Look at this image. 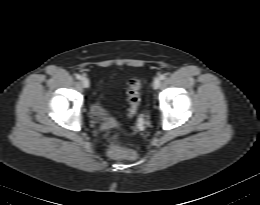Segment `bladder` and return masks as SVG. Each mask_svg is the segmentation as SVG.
Segmentation results:
<instances>
[{
    "mask_svg": "<svg viewBox=\"0 0 260 205\" xmlns=\"http://www.w3.org/2000/svg\"><path fill=\"white\" fill-rule=\"evenodd\" d=\"M89 113L94 119H105L110 116L107 108L98 100L90 105Z\"/></svg>",
    "mask_w": 260,
    "mask_h": 205,
    "instance_id": "obj_1",
    "label": "bladder"
}]
</instances>
